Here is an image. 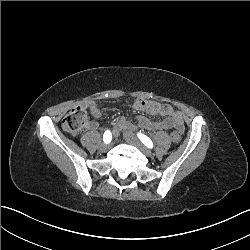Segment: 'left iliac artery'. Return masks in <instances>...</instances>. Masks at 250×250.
<instances>
[{
    "mask_svg": "<svg viewBox=\"0 0 250 250\" xmlns=\"http://www.w3.org/2000/svg\"><path fill=\"white\" fill-rule=\"evenodd\" d=\"M137 135L145 146H147L148 148H153V142L151 141L149 137L141 133H138Z\"/></svg>",
    "mask_w": 250,
    "mask_h": 250,
    "instance_id": "obj_1",
    "label": "left iliac artery"
}]
</instances>
